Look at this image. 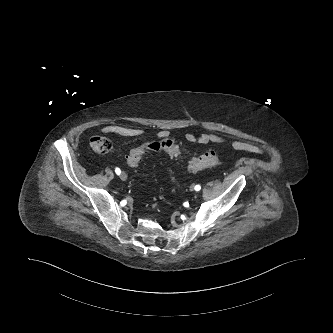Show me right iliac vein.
<instances>
[{
	"label": "right iliac vein",
	"instance_id": "right-iliac-vein-1",
	"mask_svg": "<svg viewBox=\"0 0 333 333\" xmlns=\"http://www.w3.org/2000/svg\"><path fill=\"white\" fill-rule=\"evenodd\" d=\"M120 179L121 180H126L127 179L126 173H124V172L120 173Z\"/></svg>",
	"mask_w": 333,
	"mask_h": 333
}]
</instances>
